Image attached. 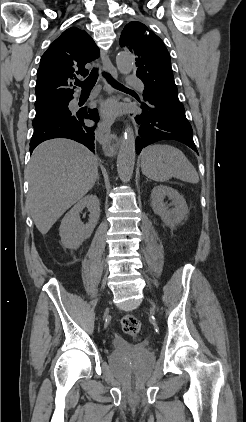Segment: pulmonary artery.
<instances>
[{"label": "pulmonary artery", "instance_id": "1", "mask_svg": "<svg viewBox=\"0 0 246 422\" xmlns=\"http://www.w3.org/2000/svg\"><path fill=\"white\" fill-rule=\"evenodd\" d=\"M126 82L129 85L137 88L139 91H141V92L144 91V84L142 83V81L136 75H134V74L127 75L126 76Z\"/></svg>", "mask_w": 246, "mask_h": 422}]
</instances>
